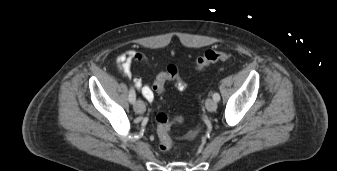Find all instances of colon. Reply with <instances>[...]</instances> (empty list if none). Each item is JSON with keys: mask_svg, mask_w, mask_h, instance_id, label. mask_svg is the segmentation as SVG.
<instances>
[{"mask_svg": "<svg viewBox=\"0 0 337 171\" xmlns=\"http://www.w3.org/2000/svg\"><path fill=\"white\" fill-rule=\"evenodd\" d=\"M231 55L225 51L207 50L196 61V68L203 70L213 63L218 61H226L230 59ZM167 81H174L179 90H185L187 83L179 76V71L175 65H168L166 70L160 73L153 85L154 91L162 94L164 85ZM157 135L159 140V148L162 152H169L173 147V140L171 137V129L182 122V118L177 116L169 118L165 113H158L155 117Z\"/></svg>", "mask_w": 337, "mask_h": 171, "instance_id": "5ec220e1", "label": "colon"}]
</instances>
